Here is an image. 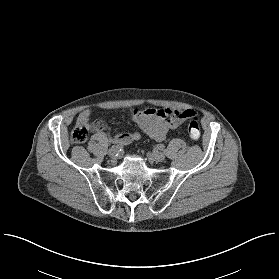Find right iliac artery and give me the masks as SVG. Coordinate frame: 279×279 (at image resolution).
<instances>
[{"instance_id":"82829eb1","label":"right iliac artery","mask_w":279,"mask_h":279,"mask_svg":"<svg viewBox=\"0 0 279 279\" xmlns=\"http://www.w3.org/2000/svg\"><path fill=\"white\" fill-rule=\"evenodd\" d=\"M114 147L117 149V150H121V147L119 145H114Z\"/></svg>"}]
</instances>
